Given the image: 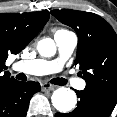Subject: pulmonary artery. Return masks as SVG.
<instances>
[{
	"label": "pulmonary artery",
	"mask_w": 117,
	"mask_h": 117,
	"mask_svg": "<svg viewBox=\"0 0 117 117\" xmlns=\"http://www.w3.org/2000/svg\"><path fill=\"white\" fill-rule=\"evenodd\" d=\"M54 40L58 49L59 57L54 60L35 59L29 61H19L14 64V69L29 75H47L59 72L65 60L73 53L77 45V36L71 31H62L54 35ZM76 89L85 88V81L82 79H67Z\"/></svg>",
	"instance_id": "pulmonary-artery-1"
}]
</instances>
